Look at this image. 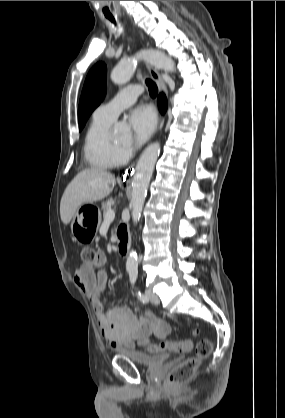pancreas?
I'll return each instance as SVG.
<instances>
[{
	"label": "pancreas",
	"instance_id": "cf45deb5",
	"mask_svg": "<svg viewBox=\"0 0 285 418\" xmlns=\"http://www.w3.org/2000/svg\"><path fill=\"white\" fill-rule=\"evenodd\" d=\"M111 209V204L110 203H104L102 206V210H103V215H105V213Z\"/></svg>",
	"mask_w": 285,
	"mask_h": 418
}]
</instances>
